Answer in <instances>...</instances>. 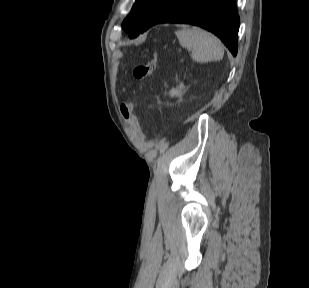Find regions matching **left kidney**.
I'll use <instances>...</instances> for the list:
<instances>
[{
  "label": "left kidney",
  "mask_w": 309,
  "mask_h": 288,
  "mask_svg": "<svg viewBox=\"0 0 309 288\" xmlns=\"http://www.w3.org/2000/svg\"><path fill=\"white\" fill-rule=\"evenodd\" d=\"M182 90H185V87H184L183 84L179 85V87L176 88V89H172V90L170 91V95H171L172 97H174V96L177 97V96L181 95Z\"/></svg>",
  "instance_id": "left-kidney-1"
}]
</instances>
